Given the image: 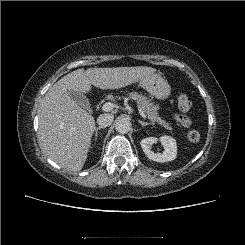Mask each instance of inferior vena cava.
I'll use <instances>...</instances> for the list:
<instances>
[{"instance_id":"inferior-vena-cava-1","label":"inferior vena cava","mask_w":245,"mask_h":245,"mask_svg":"<svg viewBox=\"0 0 245 245\" xmlns=\"http://www.w3.org/2000/svg\"><path fill=\"white\" fill-rule=\"evenodd\" d=\"M114 120V115L112 114H101L98 119H97V123L100 127H108L112 124Z\"/></svg>"}]
</instances>
